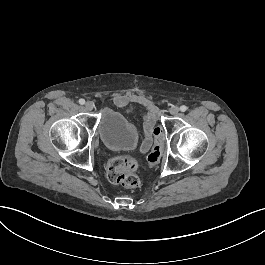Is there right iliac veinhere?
Returning <instances> with one entry per match:
<instances>
[{
	"label": "right iliac vein",
	"mask_w": 265,
	"mask_h": 265,
	"mask_svg": "<svg viewBox=\"0 0 265 265\" xmlns=\"http://www.w3.org/2000/svg\"><path fill=\"white\" fill-rule=\"evenodd\" d=\"M94 108V104L91 101L85 103V109L91 111Z\"/></svg>",
	"instance_id": "right-iliac-vein-1"
}]
</instances>
